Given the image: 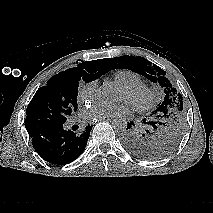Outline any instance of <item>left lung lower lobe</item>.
<instances>
[{"mask_svg": "<svg viewBox=\"0 0 213 213\" xmlns=\"http://www.w3.org/2000/svg\"><path fill=\"white\" fill-rule=\"evenodd\" d=\"M132 125L134 126L133 123H128V126L126 128V133L123 135V143L127 147V145H130L132 143V137L134 135L135 129H132Z\"/></svg>", "mask_w": 213, "mask_h": 213, "instance_id": "0a47b994", "label": "left lung lower lobe"}]
</instances>
